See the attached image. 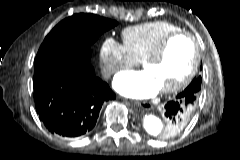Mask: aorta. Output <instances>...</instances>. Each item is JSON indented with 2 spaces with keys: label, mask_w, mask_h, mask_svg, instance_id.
<instances>
[{
  "label": "aorta",
  "mask_w": 240,
  "mask_h": 160,
  "mask_svg": "<svg viewBox=\"0 0 240 160\" xmlns=\"http://www.w3.org/2000/svg\"><path fill=\"white\" fill-rule=\"evenodd\" d=\"M142 126L145 132L151 137H158L164 129L162 120L154 114H145Z\"/></svg>",
  "instance_id": "obj_1"
}]
</instances>
